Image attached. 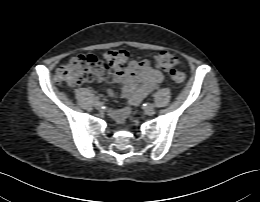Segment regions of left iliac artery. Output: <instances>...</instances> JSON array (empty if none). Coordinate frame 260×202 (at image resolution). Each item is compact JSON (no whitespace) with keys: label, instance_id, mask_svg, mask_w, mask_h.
I'll list each match as a JSON object with an SVG mask.
<instances>
[{"label":"left iliac artery","instance_id":"44dca946","mask_svg":"<svg viewBox=\"0 0 260 202\" xmlns=\"http://www.w3.org/2000/svg\"><path fill=\"white\" fill-rule=\"evenodd\" d=\"M147 105H154L153 103H150V102H147L144 104V106H147Z\"/></svg>","mask_w":260,"mask_h":202}]
</instances>
